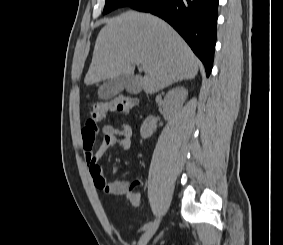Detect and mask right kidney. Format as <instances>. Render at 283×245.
Listing matches in <instances>:
<instances>
[{"instance_id": "ca27d5eb", "label": "right kidney", "mask_w": 283, "mask_h": 245, "mask_svg": "<svg viewBox=\"0 0 283 245\" xmlns=\"http://www.w3.org/2000/svg\"><path fill=\"white\" fill-rule=\"evenodd\" d=\"M188 91L184 87H176L170 90L164 98V109L167 114L180 108L186 100ZM156 120L153 116H149L143 122L140 134L142 138L150 137L156 131Z\"/></svg>"}]
</instances>
